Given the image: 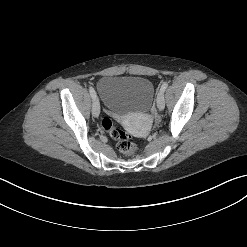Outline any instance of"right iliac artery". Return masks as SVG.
I'll use <instances>...</instances> for the list:
<instances>
[{
    "instance_id": "right-iliac-artery-1",
    "label": "right iliac artery",
    "mask_w": 247,
    "mask_h": 247,
    "mask_svg": "<svg viewBox=\"0 0 247 247\" xmlns=\"http://www.w3.org/2000/svg\"><path fill=\"white\" fill-rule=\"evenodd\" d=\"M89 92H90L92 99L94 100L96 98L95 90L92 87H89Z\"/></svg>"
}]
</instances>
